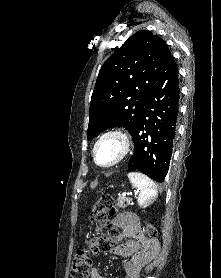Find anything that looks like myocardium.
Returning a JSON list of instances; mask_svg holds the SVG:
<instances>
[{
    "mask_svg": "<svg viewBox=\"0 0 221 278\" xmlns=\"http://www.w3.org/2000/svg\"><path fill=\"white\" fill-rule=\"evenodd\" d=\"M107 137H116V138H118L120 140V143H121V153H120V156L114 162H112L111 164L103 165V164L99 163V161L97 159L96 148H97L98 144L103 139H105ZM130 149H131V141H130V138L127 135V133H125L124 131L119 130V129H111V130H108V131L102 133L96 139V141L93 144V148H92V156H93L94 162L98 166H100L102 168H112V167L117 166L118 164H120L121 162H123L127 158L128 154L130 152Z\"/></svg>",
    "mask_w": 221,
    "mask_h": 278,
    "instance_id": "1",
    "label": "myocardium"
}]
</instances>
